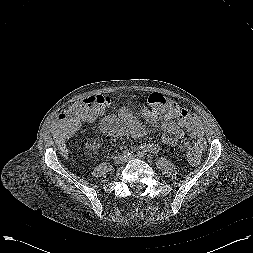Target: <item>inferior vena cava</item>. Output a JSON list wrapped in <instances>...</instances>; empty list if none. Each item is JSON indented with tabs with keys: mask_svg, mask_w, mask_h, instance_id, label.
<instances>
[{
	"mask_svg": "<svg viewBox=\"0 0 253 253\" xmlns=\"http://www.w3.org/2000/svg\"><path fill=\"white\" fill-rule=\"evenodd\" d=\"M127 160V158L124 155H120L116 157V162L117 163H123Z\"/></svg>",
	"mask_w": 253,
	"mask_h": 253,
	"instance_id": "602c4592",
	"label": "inferior vena cava"
}]
</instances>
